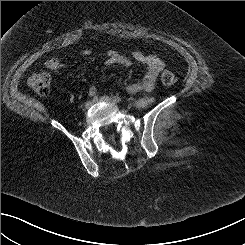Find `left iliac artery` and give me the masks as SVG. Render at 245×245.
Returning a JSON list of instances; mask_svg holds the SVG:
<instances>
[{
	"label": "left iliac artery",
	"mask_w": 245,
	"mask_h": 245,
	"mask_svg": "<svg viewBox=\"0 0 245 245\" xmlns=\"http://www.w3.org/2000/svg\"><path fill=\"white\" fill-rule=\"evenodd\" d=\"M116 102H122V99L119 96L113 97Z\"/></svg>",
	"instance_id": "44dca946"
}]
</instances>
